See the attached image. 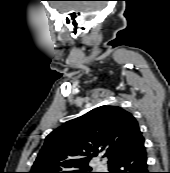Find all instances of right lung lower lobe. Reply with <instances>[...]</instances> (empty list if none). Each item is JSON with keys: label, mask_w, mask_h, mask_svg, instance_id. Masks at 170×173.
Segmentation results:
<instances>
[{"label": "right lung lower lobe", "mask_w": 170, "mask_h": 173, "mask_svg": "<svg viewBox=\"0 0 170 173\" xmlns=\"http://www.w3.org/2000/svg\"><path fill=\"white\" fill-rule=\"evenodd\" d=\"M108 173H149L144 144L110 163Z\"/></svg>", "instance_id": "obj_1"}]
</instances>
